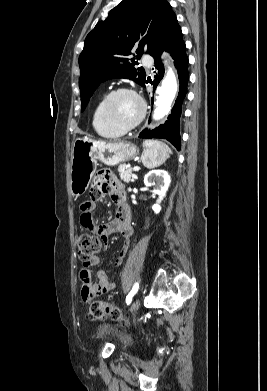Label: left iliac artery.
Masks as SVG:
<instances>
[{
	"mask_svg": "<svg viewBox=\"0 0 267 391\" xmlns=\"http://www.w3.org/2000/svg\"><path fill=\"white\" fill-rule=\"evenodd\" d=\"M138 290V284L136 283L132 289V291L128 294V296L126 297V303L127 305H129L132 301V297L133 295L137 292Z\"/></svg>",
	"mask_w": 267,
	"mask_h": 391,
	"instance_id": "left-iliac-artery-1",
	"label": "left iliac artery"
}]
</instances>
